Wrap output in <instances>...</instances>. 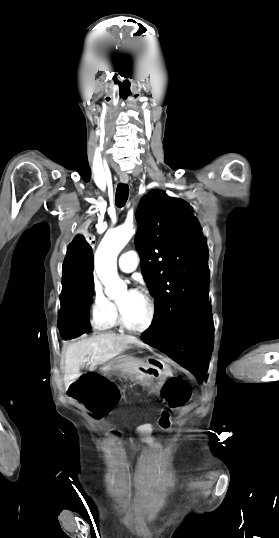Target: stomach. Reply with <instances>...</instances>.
<instances>
[{
  "mask_svg": "<svg viewBox=\"0 0 279 538\" xmlns=\"http://www.w3.org/2000/svg\"><path fill=\"white\" fill-rule=\"evenodd\" d=\"M151 390H154V387H151Z\"/></svg>",
  "mask_w": 279,
  "mask_h": 538,
  "instance_id": "1",
  "label": "stomach"
}]
</instances>
